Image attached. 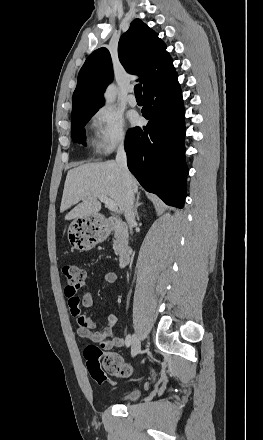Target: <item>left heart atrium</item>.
I'll return each mask as SVG.
<instances>
[{
	"label": "left heart atrium",
	"mask_w": 263,
	"mask_h": 440,
	"mask_svg": "<svg viewBox=\"0 0 263 440\" xmlns=\"http://www.w3.org/2000/svg\"><path fill=\"white\" fill-rule=\"evenodd\" d=\"M131 121H132L133 124H136V123H137V118H136V117H133V118L131 119Z\"/></svg>",
	"instance_id": "39dd6f15"
}]
</instances>
